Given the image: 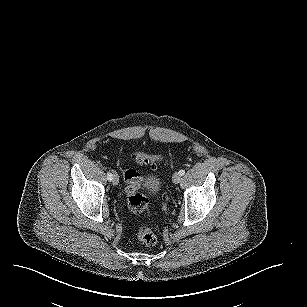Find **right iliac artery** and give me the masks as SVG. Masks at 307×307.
Instances as JSON below:
<instances>
[{
	"mask_svg": "<svg viewBox=\"0 0 307 307\" xmlns=\"http://www.w3.org/2000/svg\"><path fill=\"white\" fill-rule=\"evenodd\" d=\"M107 179L109 181H112V179H113V175L110 172L107 173Z\"/></svg>",
	"mask_w": 307,
	"mask_h": 307,
	"instance_id": "82829eb1",
	"label": "right iliac artery"
}]
</instances>
